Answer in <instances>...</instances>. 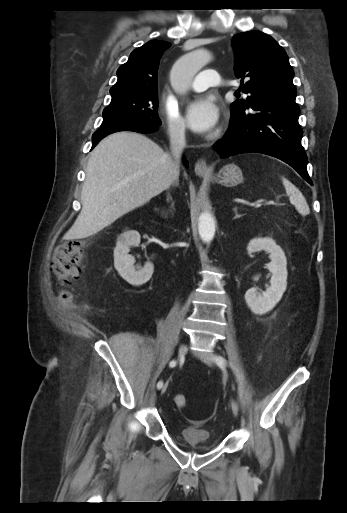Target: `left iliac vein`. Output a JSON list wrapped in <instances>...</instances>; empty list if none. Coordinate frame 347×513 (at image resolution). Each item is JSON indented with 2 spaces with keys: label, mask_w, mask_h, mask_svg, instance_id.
I'll return each instance as SVG.
<instances>
[{
  "label": "left iliac vein",
  "mask_w": 347,
  "mask_h": 513,
  "mask_svg": "<svg viewBox=\"0 0 347 513\" xmlns=\"http://www.w3.org/2000/svg\"><path fill=\"white\" fill-rule=\"evenodd\" d=\"M201 360H202L205 364H207L208 366H210V367L214 366V358H213V356H212V355H210V354H204L203 356H201ZM231 408H232V412H233V414H234L235 416H237V415H238V410H239V408H238V404H237V402H236L235 400H232V402H231Z\"/></svg>",
  "instance_id": "4c4485c4"
}]
</instances>
